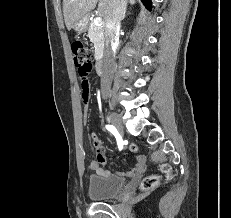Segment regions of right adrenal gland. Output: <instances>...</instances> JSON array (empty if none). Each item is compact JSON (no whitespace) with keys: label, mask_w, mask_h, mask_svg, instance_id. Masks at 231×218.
I'll return each mask as SVG.
<instances>
[{"label":"right adrenal gland","mask_w":231,"mask_h":218,"mask_svg":"<svg viewBox=\"0 0 231 218\" xmlns=\"http://www.w3.org/2000/svg\"><path fill=\"white\" fill-rule=\"evenodd\" d=\"M126 9H127V3H126V6H125V13H124V15H123L122 20L125 19V17H126Z\"/></svg>","instance_id":"1"}]
</instances>
